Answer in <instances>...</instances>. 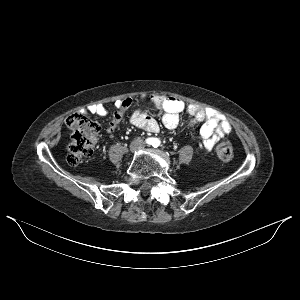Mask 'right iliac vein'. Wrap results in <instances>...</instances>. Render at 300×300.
Listing matches in <instances>:
<instances>
[{"mask_svg": "<svg viewBox=\"0 0 300 300\" xmlns=\"http://www.w3.org/2000/svg\"><path fill=\"white\" fill-rule=\"evenodd\" d=\"M136 147H137V144H135V145L132 147V150H134Z\"/></svg>", "mask_w": 300, "mask_h": 300, "instance_id": "right-iliac-vein-1", "label": "right iliac vein"}]
</instances>
